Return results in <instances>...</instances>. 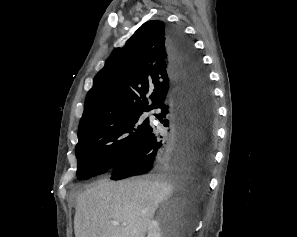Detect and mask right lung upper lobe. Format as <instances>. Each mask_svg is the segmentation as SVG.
<instances>
[{
  "label": "right lung upper lobe",
  "instance_id": "right-lung-upper-lobe-1",
  "mask_svg": "<svg viewBox=\"0 0 297 237\" xmlns=\"http://www.w3.org/2000/svg\"><path fill=\"white\" fill-rule=\"evenodd\" d=\"M168 29L164 22L148 21L112 52L86 95L78 134L105 119L156 109L169 100L176 86Z\"/></svg>",
  "mask_w": 297,
  "mask_h": 237
}]
</instances>
